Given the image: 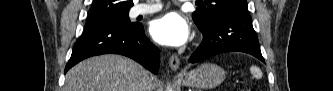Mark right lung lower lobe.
<instances>
[{
  "label": "right lung lower lobe",
  "mask_w": 333,
  "mask_h": 91,
  "mask_svg": "<svg viewBox=\"0 0 333 91\" xmlns=\"http://www.w3.org/2000/svg\"><path fill=\"white\" fill-rule=\"evenodd\" d=\"M101 54H121L130 57L153 72L159 69V49L145 36L143 25L87 22L77 40L65 73L83 59Z\"/></svg>",
  "instance_id": "98d812e1"
}]
</instances>
